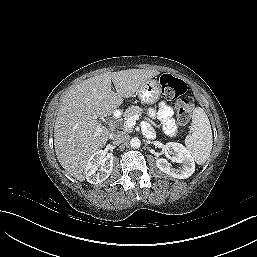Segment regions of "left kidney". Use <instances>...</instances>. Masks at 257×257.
<instances>
[{
  "instance_id": "left-kidney-1",
  "label": "left kidney",
  "mask_w": 257,
  "mask_h": 257,
  "mask_svg": "<svg viewBox=\"0 0 257 257\" xmlns=\"http://www.w3.org/2000/svg\"><path fill=\"white\" fill-rule=\"evenodd\" d=\"M165 152L167 155H171L173 162L182 164L178 168H174L164 158H159L156 161V165L162 172L170 175L174 178L185 179L190 177L195 171V162L189 151L180 143L168 142L165 145Z\"/></svg>"
}]
</instances>
